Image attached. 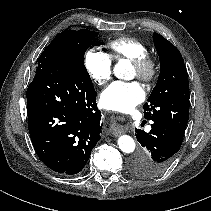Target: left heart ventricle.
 I'll return each mask as SVG.
<instances>
[{
	"mask_svg": "<svg viewBox=\"0 0 211 211\" xmlns=\"http://www.w3.org/2000/svg\"><path fill=\"white\" fill-rule=\"evenodd\" d=\"M133 72H134V74L136 75V69L133 67Z\"/></svg>",
	"mask_w": 211,
	"mask_h": 211,
	"instance_id": "b2bd125f",
	"label": "left heart ventricle"
}]
</instances>
